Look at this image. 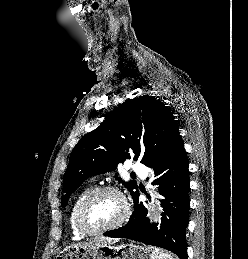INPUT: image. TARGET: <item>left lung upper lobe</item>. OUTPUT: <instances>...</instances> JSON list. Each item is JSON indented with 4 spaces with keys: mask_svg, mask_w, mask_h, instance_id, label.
Listing matches in <instances>:
<instances>
[{
    "mask_svg": "<svg viewBox=\"0 0 248 259\" xmlns=\"http://www.w3.org/2000/svg\"><path fill=\"white\" fill-rule=\"evenodd\" d=\"M179 141L176 120L167 106L147 95L129 99L74 147L64 174L62 206L88 177L113 171L130 158L151 167ZM119 181L132 196L138 191L135 181Z\"/></svg>",
    "mask_w": 248,
    "mask_h": 259,
    "instance_id": "1",
    "label": "left lung upper lobe"
}]
</instances>
